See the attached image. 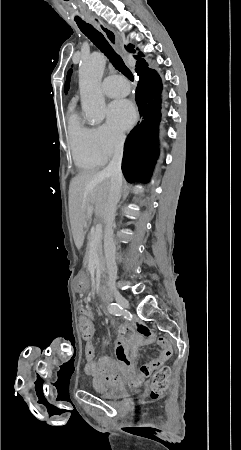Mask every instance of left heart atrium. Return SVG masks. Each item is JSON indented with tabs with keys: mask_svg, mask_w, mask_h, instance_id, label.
Here are the masks:
<instances>
[{
	"mask_svg": "<svg viewBox=\"0 0 241 450\" xmlns=\"http://www.w3.org/2000/svg\"><path fill=\"white\" fill-rule=\"evenodd\" d=\"M136 112L133 104L127 99H117L108 107L109 125L116 131L128 130L135 122Z\"/></svg>",
	"mask_w": 241,
	"mask_h": 450,
	"instance_id": "1",
	"label": "left heart atrium"
}]
</instances>
